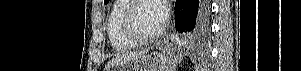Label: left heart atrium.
<instances>
[{
    "instance_id": "1",
    "label": "left heart atrium",
    "mask_w": 301,
    "mask_h": 71,
    "mask_svg": "<svg viewBox=\"0 0 301 71\" xmlns=\"http://www.w3.org/2000/svg\"><path fill=\"white\" fill-rule=\"evenodd\" d=\"M153 2L156 3V10L158 13V19L160 22L161 27H164L169 15V9L165 1L162 0H154Z\"/></svg>"
}]
</instances>
